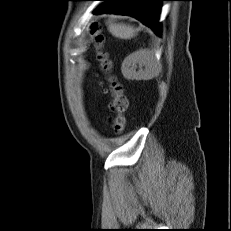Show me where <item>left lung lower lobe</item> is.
I'll return each mask as SVG.
<instances>
[{
  "label": "left lung lower lobe",
  "instance_id": "left-lung-lower-lobe-1",
  "mask_svg": "<svg viewBox=\"0 0 231 231\" xmlns=\"http://www.w3.org/2000/svg\"><path fill=\"white\" fill-rule=\"evenodd\" d=\"M96 1V0H87ZM103 1L94 13H116L137 18L143 24L150 27L157 35H160L158 23L161 1L167 0H97Z\"/></svg>",
  "mask_w": 231,
  "mask_h": 231
}]
</instances>
